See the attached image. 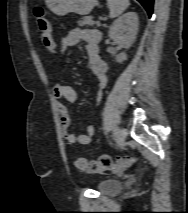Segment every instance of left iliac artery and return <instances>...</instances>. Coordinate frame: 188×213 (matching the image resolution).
Instances as JSON below:
<instances>
[{"mask_svg":"<svg viewBox=\"0 0 188 213\" xmlns=\"http://www.w3.org/2000/svg\"><path fill=\"white\" fill-rule=\"evenodd\" d=\"M113 137H114V139H116L118 137V129L114 130Z\"/></svg>","mask_w":188,"mask_h":213,"instance_id":"44dca946","label":"left iliac artery"}]
</instances>
